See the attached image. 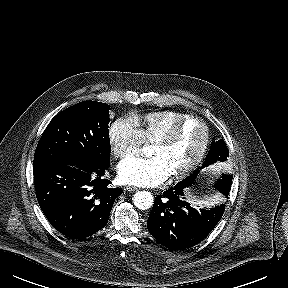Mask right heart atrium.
<instances>
[{
    "label": "right heart atrium",
    "mask_w": 288,
    "mask_h": 288,
    "mask_svg": "<svg viewBox=\"0 0 288 288\" xmlns=\"http://www.w3.org/2000/svg\"><path fill=\"white\" fill-rule=\"evenodd\" d=\"M111 151L116 158L137 154L144 142L143 136L133 118L116 120L108 132Z\"/></svg>",
    "instance_id": "1"
}]
</instances>
